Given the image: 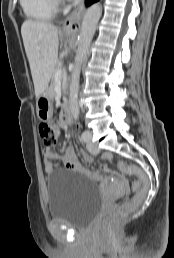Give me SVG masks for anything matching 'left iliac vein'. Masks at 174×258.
<instances>
[{
  "instance_id": "1",
  "label": "left iliac vein",
  "mask_w": 174,
  "mask_h": 258,
  "mask_svg": "<svg viewBox=\"0 0 174 258\" xmlns=\"http://www.w3.org/2000/svg\"><path fill=\"white\" fill-rule=\"evenodd\" d=\"M89 133V140L87 141V148L89 150V152H91L92 154H97L99 152L98 148L91 142V133L88 131Z\"/></svg>"
}]
</instances>
